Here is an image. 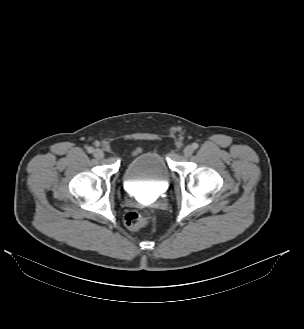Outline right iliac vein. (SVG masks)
<instances>
[{
	"label": "right iliac vein",
	"instance_id": "obj_1",
	"mask_svg": "<svg viewBox=\"0 0 304 329\" xmlns=\"http://www.w3.org/2000/svg\"><path fill=\"white\" fill-rule=\"evenodd\" d=\"M93 155H94V157L97 158V159H102L103 156H104V153H103V151L100 150V149H95Z\"/></svg>",
	"mask_w": 304,
	"mask_h": 329
}]
</instances>
